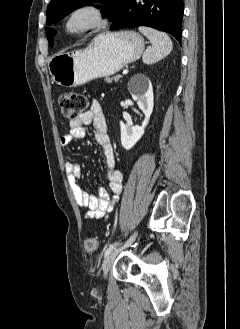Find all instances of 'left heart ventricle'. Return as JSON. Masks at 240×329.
Returning a JSON list of instances; mask_svg holds the SVG:
<instances>
[{
  "label": "left heart ventricle",
  "mask_w": 240,
  "mask_h": 329,
  "mask_svg": "<svg viewBox=\"0 0 240 329\" xmlns=\"http://www.w3.org/2000/svg\"><path fill=\"white\" fill-rule=\"evenodd\" d=\"M91 21V16L88 13H82L80 14L74 21L75 25H82L87 22Z\"/></svg>",
  "instance_id": "b2bd125f"
}]
</instances>
